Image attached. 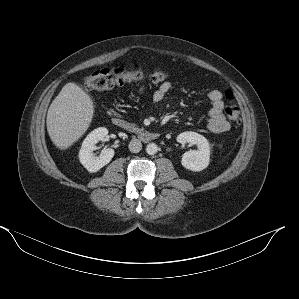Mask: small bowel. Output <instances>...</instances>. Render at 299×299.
<instances>
[{"mask_svg": "<svg viewBox=\"0 0 299 299\" xmlns=\"http://www.w3.org/2000/svg\"><path fill=\"white\" fill-rule=\"evenodd\" d=\"M170 89L171 84L166 81L161 83L153 92L147 93L145 81L141 79L138 87V95L147 96L154 103H159L164 100ZM208 98L211 102L208 129L214 134H223L230 129V124L223 113L224 103L222 101V93L216 89L210 90Z\"/></svg>", "mask_w": 299, "mask_h": 299, "instance_id": "obj_1", "label": "small bowel"}]
</instances>
